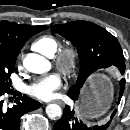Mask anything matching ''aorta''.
<instances>
[{"label": "aorta", "mask_w": 130, "mask_h": 130, "mask_svg": "<svg viewBox=\"0 0 130 130\" xmlns=\"http://www.w3.org/2000/svg\"><path fill=\"white\" fill-rule=\"evenodd\" d=\"M24 67L32 73L43 74L50 70V62L43 56L29 53L23 60ZM46 114L51 119H56L61 117L62 109L58 104H49L46 107Z\"/></svg>", "instance_id": "obj_1"}]
</instances>
